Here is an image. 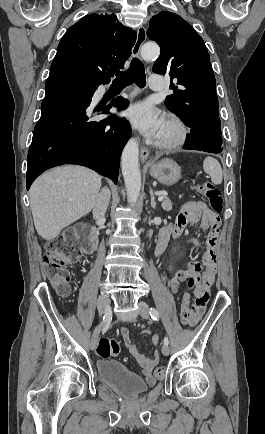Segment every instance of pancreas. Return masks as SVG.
Segmentation results:
<instances>
[{
  "label": "pancreas",
  "instance_id": "obj_1",
  "mask_svg": "<svg viewBox=\"0 0 265 434\" xmlns=\"http://www.w3.org/2000/svg\"><path fill=\"white\" fill-rule=\"evenodd\" d=\"M163 210H167V212H170V210H172V202L171 200H169V198H165V200H162V204H161Z\"/></svg>",
  "mask_w": 265,
  "mask_h": 434
}]
</instances>
